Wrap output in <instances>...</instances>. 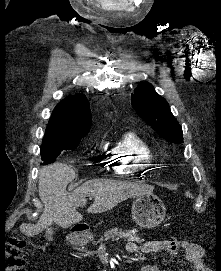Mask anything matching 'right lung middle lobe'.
<instances>
[{"label": "right lung middle lobe", "mask_w": 221, "mask_h": 271, "mask_svg": "<svg viewBox=\"0 0 221 271\" xmlns=\"http://www.w3.org/2000/svg\"><path fill=\"white\" fill-rule=\"evenodd\" d=\"M84 137V136H83ZM44 137L41 146L42 165L53 163L63 150H74L80 143L81 138Z\"/></svg>", "instance_id": "obj_1"}]
</instances>
